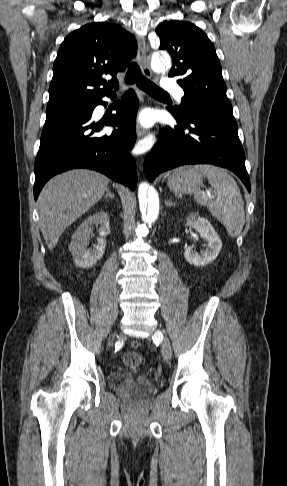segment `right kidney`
I'll use <instances>...</instances> for the list:
<instances>
[{
  "label": "right kidney",
  "mask_w": 287,
  "mask_h": 486,
  "mask_svg": "<svg viewBox=\"0 0 287 486\" xmlns=\"http://www.w3.org/2000/svg\"><path fill=\"white\" fill-rule=\"evenodd\" d=\"M98 225L100 238L97 240V245L93 249L87 248L90 234L94 226ZM109 233V216L105 211H98L85 219L74 232L69 245L75 264L81 268H86L101 259L106 248L104 237Z\"/></svg>",
  "instance_id": "ca27d5eb"
}]
</instances>
